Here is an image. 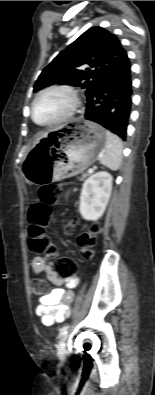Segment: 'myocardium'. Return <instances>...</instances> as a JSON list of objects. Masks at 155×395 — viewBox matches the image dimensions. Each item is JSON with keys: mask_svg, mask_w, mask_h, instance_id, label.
Segmentation results:
<instances>
[{"mask_svg": "<svg viewBox=\"0 0 155 395\" xmlns=\"http://www.w3.org/2000/svg\"><path fill=\"white\" fill-rule=\"evenodd\" d=\"M51 92H62L64 94H66L69 99H70V104L67 108V110L57 119L48 122V123H39L35 120L34 117V109H35V105L37 103V101L44 95L51 93ZM80 106V99L78 96L77 91L68 85H52V86H48L44 89H42L41 91H39L35 97L33 98L32 102H31V106H30V117L31 120L33 121L34 124H36L37 126L40 127H54L60 124H63L67 121H69L70 119L73 118V116L76 114L78 108Z\"/></svg>", "mask_w": 155, "mask_h": 395, "instance_id": "1", "label": "myocardium"}]
</instances>
